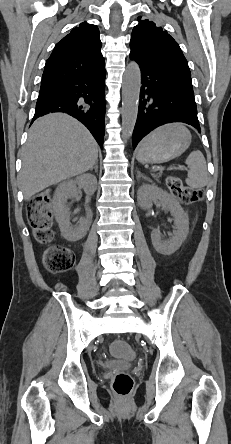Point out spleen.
Returning a JSON list of instances; mask_svg holds the SVG:
<instances>
[{
    "label": "spleen",
    "instance_id": "spleen-1",
    "mask_svg": "<svg viewBox=\"0 0 231 444\" xmlns=\"http://www.w3.org/2000/svg\"><path fill=\"white\" fill-rule=\"evenodd\" d=\"M185 163L189 167L186 184L197 189L204 187L208 181V172L202 152L199 150L191 152Z\"/></svg>",
    "mask_w": 231,
    "mask_h": 444
}]
</instances>
